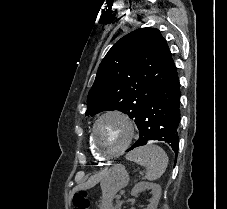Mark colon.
<instances>
[{"instance_id":"colon-1","label":"colon","mask_w":227,"mask_h":209,"mask_svg":"<svg viewBox=\"0 0 227 209\" xmlns=\"http://www.w3.org/2000/svg\"><path fill=\"white\" fill-rule=\"evenodd\" d=\"M90 201L85 190L76 192L72 200V209H89Z\"/></svg>"}]
</instances>
